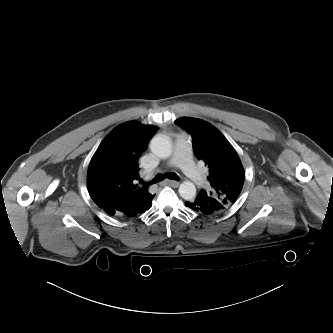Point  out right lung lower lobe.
Returning <instances> with one entry per match:
<instances>
[{"label": "right lung lower lobe", "mask_w": 333, "mask_h": 333, "mask_svg": "<svg viewBox=\"0 0 333 333\" xmlns=\"http://www.w3.org/2000/svg\"><path fill=\"white\" fill-rule=\"evenodd\" d=\"M105 212L111 216H117L121 218H128L127 216L121 214V212L116 211L115 209L105 210Z\"/></svg>", "instance_id": "1"}]
</instances>
